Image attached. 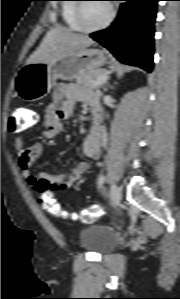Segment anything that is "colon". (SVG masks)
I'll use <instances>...</instances> for the list:
<instances>
[{"instance_id": "5ec220e1", "label": "colon", "mask_w": 180, "mask_h": 299, "mask_svg": "<svg viewBox=\"0 0 180 299\" xmlns=\"http://www.w3.org/2000/svg\"><path fill=\"white\" fill-rule=\"evenodd\" d=\"M38 120L39 116L35 111L27 108H16L10 114L8 126L11 132L18 133L34 126ZM34 189L40 194L43 208L55 217L73 216L81 222L90 223L104 214V208L100 204L90 205L77 214H71L56 203L52 196V185L38 182Z\"/></svg>"}]
</instances>
